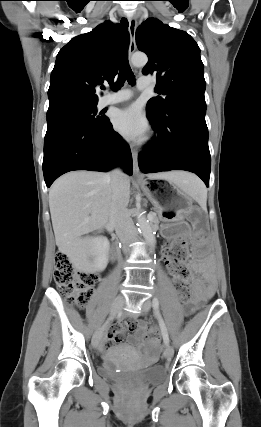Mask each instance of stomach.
<instances>
[{
	"instance_id": "stomach-1",
	"label": "stomach",
	"mask_w": 261,
	"mask_h": 427,
	"mask_svg": "<svg viewBox=\"0 0 261 427\" xmlns=\"http://www.w3.org/2000/svg\"><path fill=\"white\" fill-rule=\"evenodd\" d=\"M161 179L143 180L140 187L165 222L182 220L191 209V201L179 185Z\"/></svg>"
}]
</instances>
